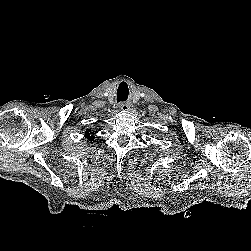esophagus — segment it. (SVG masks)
<instances>
[{"instance_id": "esophagus-1", "label": "esophagus", "mask_w": 251, "mask_h": 251, "mask_svg": "<svg viewBox=\"0 0 251 251\" xmlns=\"http://www.w3.org/2000/svg\"><path fill=\"white\" fill-rule=\"evenodd\" d=\"M133 109V105L130 103H121L119 105V110L130 111Z\"/></svg>"}]
</instances>
